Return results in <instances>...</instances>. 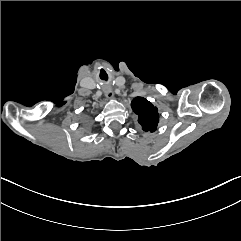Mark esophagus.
<instances>
[{
  "label": "esophagus",
  "instance_id": "1",
  "mask_svg": "<svg viewBox=\"0 0 241 241\" xmlns=\"http://www.w3.org/2000/svg\"><path fill=\"white\" fill-rule=\"evenodd\" d=\"M105 95L108 99H113L114 98V93L111 89L106 90Z\"/></svg>",
  "mask_w": 241,
  "mask_h": 241
}]
</instances>
